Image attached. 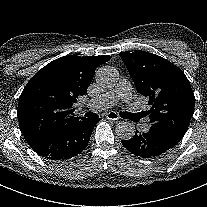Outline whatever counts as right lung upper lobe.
<instances>
[{
	"instance_id": "obj_1",
	"label": "right lung upper lobe",
	"mask_w": 207,
	"mask_h": 207,
	"mask_svg": "<svg viewBox=\"0 0 207 207\" xmlns=\"http://www.w3.org/2000/svg\"><path fill=\"white\" fill-rule=\"evenodd\" d=\"M111 56L76 55L58 58L27 83L18 103V121L30 146L54 135L74 119L72 105L87 94L96 68Z\"/></svg>"
}]
</instances>
